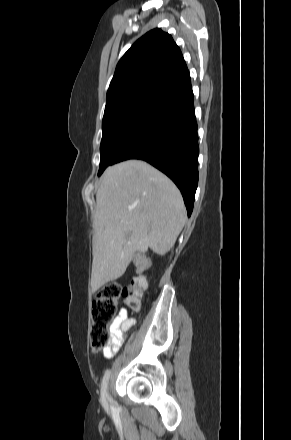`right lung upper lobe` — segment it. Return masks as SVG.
Instances as JSON below:
<instances>
[{"instance_id": "right-lung-upper-lobe-1", "label": "right lung upper lobe", "mask_w": 291, "mask_h": 440, "mask_svg": "<svg viewBox=\"0 0 291 440\" xmlns=\"http://www.w3.org/2000/svg\"><path fill=\"white\" fill-rule=\"evenodd\" d=\"M189 76L171 35L154 29L138 39L117 64L106 105L138 96L157 97Z\"/></svg>"}]
</instances>
